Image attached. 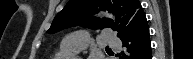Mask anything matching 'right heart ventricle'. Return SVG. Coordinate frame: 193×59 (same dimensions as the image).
<instances>
[{"label":"right heart ventricle","instance_id":"1","mask_svg":"<svg viewBox=\"0 0 193 59\" xmlns=\"http://www.w3.org/2000/svg\"><path fill=\"white\" fill-rule=\"evenodd\" d=\"M74 52L73 51H65L63 49H60L53 57L52 59H68Z\"/></svg>","mask_w":193,"mask_h":59}]
</instances>
